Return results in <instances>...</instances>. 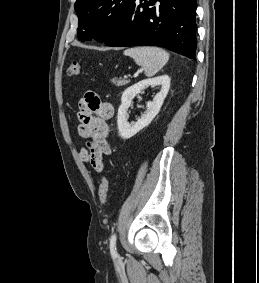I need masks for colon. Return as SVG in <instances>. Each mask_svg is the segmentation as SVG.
Returning a JSON list of instances; mask_svg holds the SVG:
<instances>
[{"mask_svg":"<svg viewBox=\"0 0 259 283\" xmlns=\"http://www.w3.org/2000/svg\"><path fill=\"white\" fill-rule=\"evenodd\" d=\"M81 72V64L77 61H73L69 64L68 74L69 76H77ZM99 200L102 204H105L108 201L110 195V184L107 177H103L100 186H99Z\"/></svg>","mask_w":259,"mask_h":283,"instance_id":"5ec220e1","label":"colon"}]
</instances>
